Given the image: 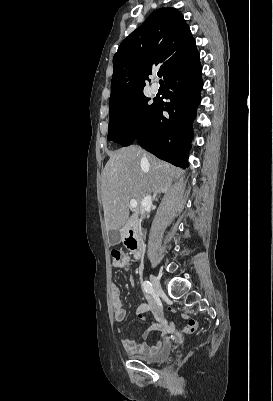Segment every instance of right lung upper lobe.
<instances>
[{
  "label": "right lung upper lobe",
  "instance_id": "right-lung-upper-lobe-1",
  "mask_svg": "<svg viewBox=\"0 0 273 401\" xmlns=\"http://www.w3.org/2000/svg\"><path fill=\"white\" fill-rule=\"evenodd\" d=\"M199 58L195 40L183 15L160 8L120 44L113 57L109 107L143 93L153 65L162 64L164 78L178 66Z\"/></svg>",
  "mask_w": 273,
  "mask_h": 401
}]
</instances>
